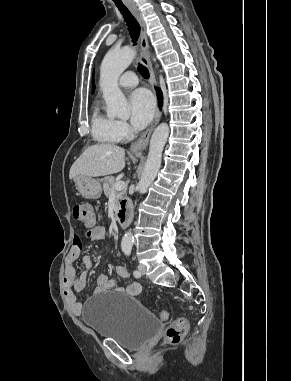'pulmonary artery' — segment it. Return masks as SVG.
Segmentation results:
<instances>
[{
    "instance_id": "obj_1",
    "label": "pulmonary artery",
    "mask_w": 291,
    "mask_h": 381,
    "mask_svg": "<svg viewBox=\"0 0 291 381\" xmlns=\"http://www.w3.org/2000/svg\"><path fill=\"white\" fill-rule=\"evenodd\" d=\"M119 84L120 86L125 88L135 87L138 84V79L136 74L132 71H127L123 73L119 79Z\"/></svg>"
}]
</instances>
